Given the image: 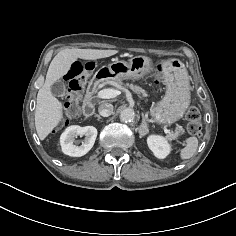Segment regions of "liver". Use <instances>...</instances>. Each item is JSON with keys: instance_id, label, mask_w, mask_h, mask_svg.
Returning <instances> with one entry per match:
<instances>
[{"instance_id": "1", "label": "liver", "mask_w": 236, "mask_h": 236, "mask_svg": "<svg viewBox=\"0 0 236 236\" xmlns=\"http://www.w3.org/2000/svg\"><path fill=\"white\" fill-rule=\"evenodd\" d=\"M118 50L99 49H64L51 61L46 79L37 94L35 109V127L40 140H44L60 123L63 117L62 104L51 93L50 87L62 78L78 58L83 60H97L113 56Z\"/></svg>"}]
</instances>
